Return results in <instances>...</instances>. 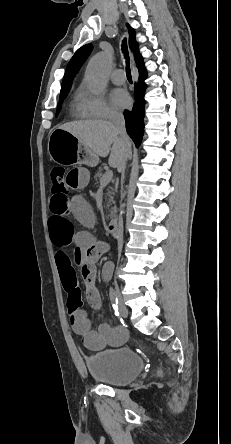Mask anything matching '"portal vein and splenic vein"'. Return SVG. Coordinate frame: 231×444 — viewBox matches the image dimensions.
I'll return each instance as SVG.
<instances>
[{"label":"portal vein and splenic vein","instance_id":"1","mask_svg":"<svg viewBox=\"0 0 231 444\" xmlns=\"http://www.w3.org/2000/svg\"><path fill=\"white\" fill-rule=\"evenodd\" d=\"M112 177H113L112 170H107L101 178L100 185L102 187H105L106 185H108L110 183V181L112 180Z\"/></svg>","mask_w":231,"mask_h":444}]
</instances>
